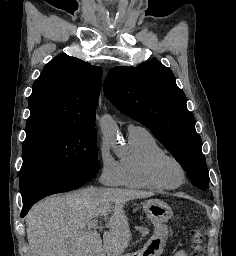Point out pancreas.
<instances>
[{"label": "pancreas", "mask_w": 236, "mask_h": 256, "mask_svg": "<svg viewBox=\"0 0 236 256\" xmlns=\"http://www.w3.org/2000/svg\"><path fill=\"white\" fill-rule=\"evenodd\" d=\"M139 230H140L141 234H143V236H146V234H148V230H146V228H139ZM144 241H145L144 238L135 239V242H139V243H144ZM132 245L137 246L138 244L133 243Z\"/></svg>", "instance_id": "pancreas-1"}]
</instances>
